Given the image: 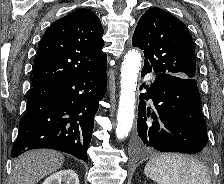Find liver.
Listing matches in <instances>:
<instances>
[{
    "instance_id": "1",
    "label": "liver",
    "mask_w": 224,
    "mask_h": 184,
    "mask_svg": "<svg viewBox=\"0 0 224 184\" xmlns=\"http://www.w3.org/2000/svg\"><path fill=\"white\" fill-rule=\"evenodd\" d=\"M64 163V156L54 150L28 151L15 159L13 184H36L47 175L57 171Z\"/></svg>"
}]
</instances>
